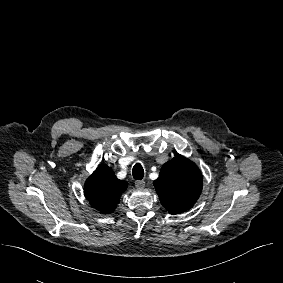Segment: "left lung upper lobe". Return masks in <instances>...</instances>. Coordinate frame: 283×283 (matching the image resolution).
Instances as JSON below:
<instances>
[{
    "label": "left lung upper lobe",
    "mask_w": 283,
    "mask_h": 283,
    "mask_svg": "<svg viewBox=\"0 0 283 283\" xmlns=\"http://www.w3.org/2000/svg\"><path fill=\"white\" fill-rule=\"evenodd\" d=\"M162 205L171 214L190 209L202 191V174L198 167L182 155L166 162L154 181Z\"/></svg>",
    "instance_id": "left-lung-upper-lobe-1"
}]
</instances>
